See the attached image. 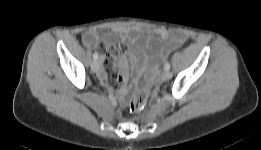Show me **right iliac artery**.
Segmentation results:
<instances>
[{"label":"right iliac artery","instance_id":"obj_1","mask_svg":"<svg viewBox=\"0 0 261 150\" xmlns=\"http://www.w3.org/2000/svg\"><path fill=\"white\" fill-rule=\"evenodd\" d=\"M93 58H94V60H98V54H97V53H94V54H93Z\"/></svg>","mask_w":261,"mask_h":150}]
</instances>
